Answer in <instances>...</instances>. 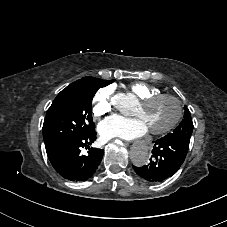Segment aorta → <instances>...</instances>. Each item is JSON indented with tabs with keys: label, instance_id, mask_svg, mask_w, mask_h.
<instances>
[{
	"label": "aorta",
	"instance_id": "obj_1",
	"mask_svg": "<svg viewBox=\"0 0 227 227\" xmlns=\"http://www.w3.org/2000/svg\"><path fill=\"white\" fill-rule=\"evenodd\" d=\"M130 159L135 166L141 167L149 161V149L144 144L135 145L130 152Z\"/></svg>",
	"mask_w": 227,
	"mask_h": 227
}]
</instances>
